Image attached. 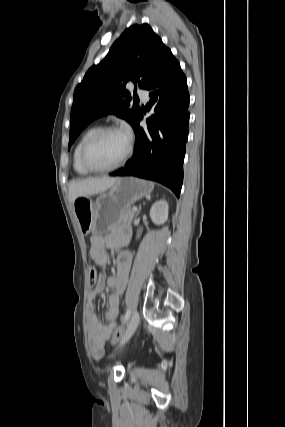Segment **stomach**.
I'll return each mask as SVG.
<instances>
[{
	"mask_svg": "<svg viewBox=\"0 0 285 427\" xmlns=\"http://www.w3.org/2000/svg\"><path fill=\"white\" fill-rule=\"evenodd\" d=\"M154 188L152 182L123 177L102 192L95 201L79 197L73 203L74 213L83 232L102 235L123 223L126 209L141 198H149Z\"/></svg>",
	"mask_w": 285,
	"mask_h": 427,
	"instance_id": "obj_1",
	"label": "stomach"
}]
</instances>
